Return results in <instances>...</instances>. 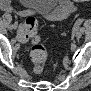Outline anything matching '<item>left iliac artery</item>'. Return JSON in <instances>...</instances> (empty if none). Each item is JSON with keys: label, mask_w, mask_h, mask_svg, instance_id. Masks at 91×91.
Listing matches in <instances>:
<instances>
[{"label": "left iliac artery", "mask_w": 91, "mask_h": 91, "mask_svg": "<svg viewBox=\"0 0 91 91\" xmlns=\"http://www.w3.org/2000/svg\"><path fill=\"white\" fill-rule=\"evenodd\" d=\"M83 22H84V19L83 18H80L77 22H75L73 24V27L74 28H77V27L81 26Z\"/></svg>", "instance_id": "1"}]
</instances>
